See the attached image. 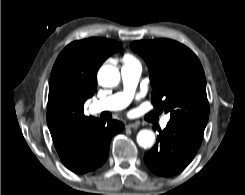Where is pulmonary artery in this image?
I'll use <instances>...</instances> for the list:
<instances>
[{
	"instance_id": "e3ab8cb5",
	"label": "pulmonary artery",
	"mask_w": 245,
	"mask_h": 195,
	"mask_svg": "<svg viewBox=\"0 0 245 195\" xmlns=\"http://www.w3.org/2000/svg\"><path fill=\"white\" fill-rule=\"evenodd\" d=\"M141 73L142 67L139 62L124 61L121 67L123 90L93 102L90 106L91 111L93 113H101L104 111H117L125 108L133 98ZM169 120V115L164 116L161 121V126L163 128L166 127Z\"/></svg>"
}]
</instances>
